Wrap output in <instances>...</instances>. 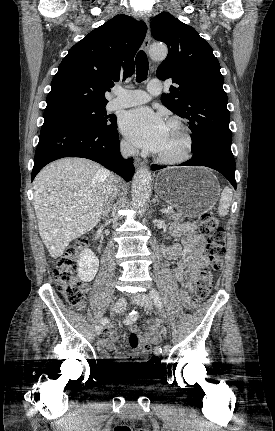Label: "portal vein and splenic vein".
I'll use <instances>...</instances> for the list:
<instances>
[{"label":"portal vein and splenic vein","instance_id":"1","mask_svg":"<svg viewBox=\"0 0 275 431\" xmlns=\"http://www.w3.org/2000/svg\"><path fill=\"white\" fill-rule=\"evenodd\" d=\"M161 212H162V213H164V214H167V213H170V212H171V209H169V208H168V209L164 208V209H162V210H161Z\"/></svg>","mask_w":275,"mask_h":431}]
</instances>
